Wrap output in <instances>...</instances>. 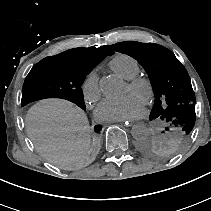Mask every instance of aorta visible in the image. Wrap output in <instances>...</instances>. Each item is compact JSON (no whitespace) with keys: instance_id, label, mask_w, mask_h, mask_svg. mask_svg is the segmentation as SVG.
I'll return each instance as SVG.
<instances>
[{"instance_id":"762f6f07","label":"aorta","mask_w":211,"mask_h":211,"mask_svg":"<svg viewBox=\"0 0 211 211\" xmlns=\"http://www.w3.org/2000/svg\"><path fill=\"white\" fill-rule=\"evenodd\" d=\"M100 89L104 96L108 98H118L123 95L125 91V85L123 81L115 76L103 77L100 80ZM131 134L137 141L144 140L149 135V130L146 125L138 123L133 125Z\"/></svg>"}]
</instances>
